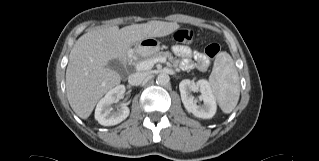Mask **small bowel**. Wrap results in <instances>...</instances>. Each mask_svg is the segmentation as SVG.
<instances>
[{
    "mask_svg": "<svg viewBox=\"0 0 319 161\" xmlns=\"http://www.w3.org/2000/svg\"><path fill=\"white\" fill-rule=\"evenodd\" d=\"M173 53L180 59L179 65L181 69L185 71L193 68L204 71L208 67L209 61L206 56L197 50H192L188 46L175 45L173 47Z\"/></svg>",
    "mask_w": 319,
    "mask_h": 161,
    "instance_id": "small-bowel-1",
    "label": "small bowel"
}]
</instances>
